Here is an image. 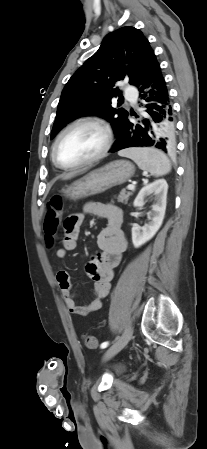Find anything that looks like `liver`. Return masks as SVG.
I'll return each instance as SVG.
<instances>
[{
  "label": "liver",
  "instance_id": "1",
  "mask_svg": "<svg viewBox=\"0 0 207 449\" xmlns=\"http://www.w3.org/2000/svg\"><path fill=\"white\" fill-rule=\"evenodd\" d=\"M78 173L79 172H70V173L64 174V175L61 176V179L62 180H69V179L75 177Z\"/></svg>",
  "mask_w": 207,
  "mask_h": 449
}]
</instances>
